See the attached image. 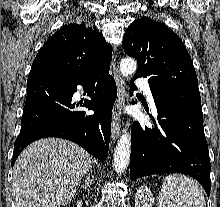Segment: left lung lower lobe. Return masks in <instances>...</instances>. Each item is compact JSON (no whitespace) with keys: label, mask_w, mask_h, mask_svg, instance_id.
Returning a JSON list of instances; mask_svg holds the SVG:
<instances>
[{"label":"left lung lower lobe","mask_w":220,"mask_h":207,"mask_svg":"<svg viewBox=\"0 0 220 207\" xmlns=\"http://www.w3.org/2000/svg\"><path fill=\"white\" fill-rule=\"evenodd\" d=\"M151 92L158 121L152 128L132 126L130 179L179 172L198 180L209 196L211 166L198 84L177 81Z\"/></svg>","instance_id":"left-lung-lower-lobe-1"}]
</instances>
